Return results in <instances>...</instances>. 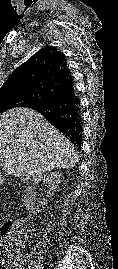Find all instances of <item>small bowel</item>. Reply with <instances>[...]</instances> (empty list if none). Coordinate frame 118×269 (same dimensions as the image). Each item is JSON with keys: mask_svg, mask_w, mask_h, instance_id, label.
<instances>
[{"mask_svg": "<svg viewBox=\"0 0 118 269\" xmlns=\"http://www.w3.org/2000/svg\"><path fill=\"white\" fill-rule=\"evenodd\" d=\"M14 269H23V268H22V266H20V265H16V266L14 267Z\"/></svg>", "mask_w": 118, "mask_h": 269, "instance_id": "1", "label": "small bowel"}]
</instances>
